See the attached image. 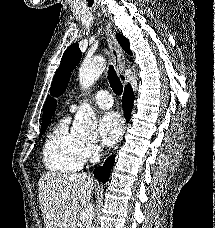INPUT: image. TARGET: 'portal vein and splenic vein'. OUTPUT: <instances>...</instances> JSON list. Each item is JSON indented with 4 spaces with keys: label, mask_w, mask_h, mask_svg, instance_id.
I'll return each instance as SVG.
<instances>
[{
    "label": "portal vein and splenic vein",
    "mask_w": 215,
    "mask_h": 228,
    "mask_svg": "<svg viewBox=\"0 0 215 228\" xmlns=\"http://www.w3.org/2000/svg\"><path fill=\"white\" fill-rule=\"evenodd\" d=\"M79 216H80V220H82V222H85V220H89L90 212L89 210H81Z\"/></svg>",
    "instance_id": "portal-vein-and-splenic-vein-1"
}]
</instances>
